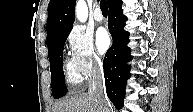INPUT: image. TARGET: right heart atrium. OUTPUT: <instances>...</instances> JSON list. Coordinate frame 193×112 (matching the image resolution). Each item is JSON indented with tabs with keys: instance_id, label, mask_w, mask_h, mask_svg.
<instances>
[{
	"instance_id": "1",
	"label": "right heart atrium",
	"mask_w": 193,
	"mask_h": 112,
	"mask_svg": "<svg viewBox=\"0 0 193 112\" xmlns=\"http://www.w3.org/2000/svg\"><path fill=\"white\" fill-rule=\"evenodd\" d=\"M71 64L81 77L91 76L102 70L103 62L95 51L93 40L81 27H73L67 35Z\"/></svg>"
}]
</instances>
